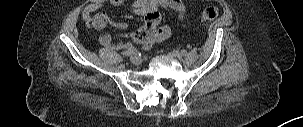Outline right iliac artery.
I'll list each match as a JSON object with an SVG mask.
<instances>
[{
    "mask_svg": "<svg viewBox=\"0 0 303 127\" xmlns=\"http://www.w3.org/2000/svg\"><path fill=\"white\" fill-rule=\"evenodd\" d=\"M136 53H137V49L133 48V49H129V50L125 51L124 55L131 56V55L136 54Z\"/></svg>",
    "mask_w": 303,
    "mask_h": 127,
    "instance_id": "1",
    "label": "right iliac artery"
}]
</instances>
